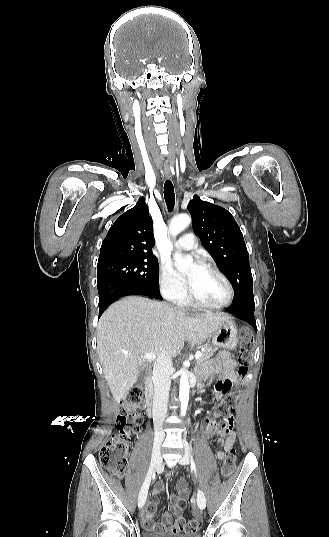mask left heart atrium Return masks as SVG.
<instances>
[{"label": "left heart atrium", "mask_w": 329, "mask_h": 537, "mask_svg": "<svg viewBox=\"0 0 329 537\" xmlns=\"http://www.w3.org/2000/svg\"><path fill=\"white\" fill-rule=\"evenodd\" d=\"M202 268V263L200 261H196L193 268H192V272L191 274H189L188 276V279H187V282L189 284L190 287H192L194 281H195V278L198 274V272L201 270Z\"/></svg>", "instance_id": "left-heart-atrium-1"}]
</instances>
